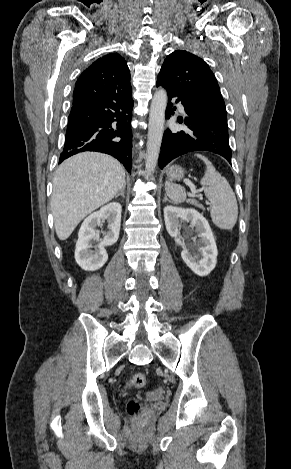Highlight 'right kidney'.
I'll return each mask as SVG.
<instances>
[{
    "label": "right kidney",
    "instance_id": "obj_1",
    "mask_svg": "<svg viewBox=\"0 0 291 469\" xmlns=\"http://www.w3.org/2000/svg\"><path fill=\"white\" fill-rule=\"evenodd\" d=\"M121 211V205L112 202L89 215L82 223L76 242L75 260L83 270L95 271L106 263L108 254L105 247L113 245L118 240ZM104 220L108 223V231L95 250H91L93 247L91 241L97 237L96 227Z\"/></svg>",
    "mask_w": 291,
    "mask_h": 469
}]
</instances>
